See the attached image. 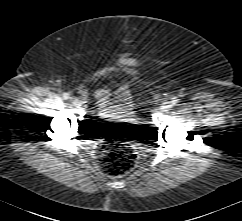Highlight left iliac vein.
<instances>
[{
    "mask_svg": "<svg viewBox=\"0 0 242 221\" xmlns=\"http://www.w3.org/2000/svg\"><path fill=\"white\" fill-rule=\"evenodd\" d=\"M170 107H171V106H170L169 104H165V105L162 106V109H163V110H166V109H168V108H170Z\"/></svg>",
    "mask_w": 242,
    "mask_h": 221,
    "instance_id": "left-iliac-vein-1",
    "label": "left iliac vein"
}]
</instances>
